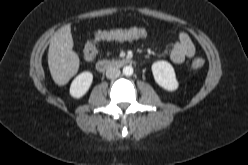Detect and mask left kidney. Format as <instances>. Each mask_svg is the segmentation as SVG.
I'll return each mask as SVG.
<instances>
[{"label":"left kidney","instance_id":"left-kidney-1","mask_svg":"<svg viewBox=\"0 0 248 165\" xmlns=\"http://www.w3.org/2000/svg\"><path fill=\"white\" fill-rule=\"evenodd\" d=\"M155 82L167 91H175L179 83L172 65L167 61H157L152 64Z\"/></svg>","mask_w":248,"mask_h":165}]
</instances>
